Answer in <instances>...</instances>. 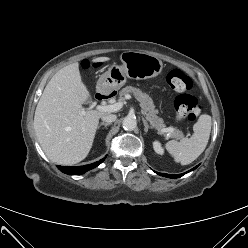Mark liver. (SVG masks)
Here are the masks:
<instances>
[{
	"label": "liver",
	"mask_w": 248,
	"mask_h": 248,
	"mask_svg": "<svg viewBox=\"0 0 248 248\" xmlns=\"http://www.w3.org/2000/svg\"><path fill=\"white\" fill-rule=\"evenodd\" d=\"M108 60L109 57H98L92 63ZM89 97L78 62L60 69L46 85L36 107L34 129L52 162L76 164L90 152L99 119L107 113L85 110L82 105Z\"/></svg>",
	"instance_id": "6515ba94"
}]
</instances>
